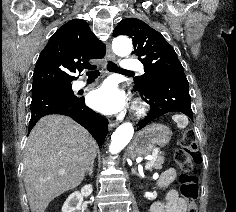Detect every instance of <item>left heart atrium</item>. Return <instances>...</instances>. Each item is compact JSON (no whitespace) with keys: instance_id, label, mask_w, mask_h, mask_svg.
Wrapping results in <instances>:
<instances>
[{"instance_id":"obj_1","label":"left heart atrium","mask_w":236,"mask_h":212,"mask_svg":"<svg viewBox=\"0 0 236 212\" xmlns=\"http://www.w3.org/2000/svg\"><path fill=\"white\" fill-rule=\"evenodd\" d=\"M89 104L97 111L112 115L126 106V96L117 85L107 81L89 95Z\"/></svg>"}]
</instances>
